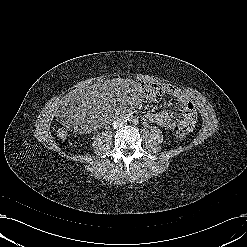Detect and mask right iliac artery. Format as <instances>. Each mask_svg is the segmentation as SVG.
I'll return each mask as SVG.
<instances>
[{"label": "right iliac artery", "instance_id": "obj_1", "mask_svg": "<svg viewBox=\"0 0 247 247\" xmlns=\"http://www.w3.org/2000/svg\"><path fill=\"white\" fill-rule=\"evenodd\" d=\"M130 119H131V117L128 116V120H130Z\"/></svg>", "mask_w": 247, "mask_h": 247}]
</instances>
